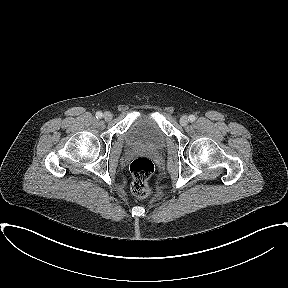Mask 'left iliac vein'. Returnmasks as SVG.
<instances>
[{"mask_svg":"<svg viewBox=\"0 0 288 288\" xmlns=\"http://www.w3.org/2000/svg\"><path fill=\"white\" fill-rule=\"evenodd\" d=\"M180 124L182 126H186L188 124V117L186 115H183L181 118H180Z\"/></svg>","mask_w":288,"mask_h":288,"instance_id":"left-iliac-vein-1","label":"left iliac vein"}]
</instances>
